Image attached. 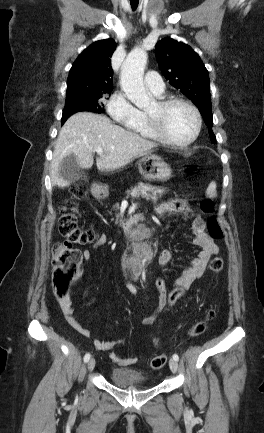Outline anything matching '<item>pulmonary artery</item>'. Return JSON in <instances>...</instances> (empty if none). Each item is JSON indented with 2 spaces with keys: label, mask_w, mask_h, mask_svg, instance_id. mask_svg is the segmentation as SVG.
Wrapping results in <instances>:
<instances>
[{
  "label": "pulmonary artery",
  "mask_w": 264,
  "mask_h": 433,
  "mask_svg": "<svg viewBox=\"0 0 264 433\" xmlns=\"http://www.w3.org/2000/svg\"><path fill=\"white\" fill-rule=\"evenodd\" d=\"M145 85L156 96H162L165 93L164 81L157 72L150 71L146 74Z\"/></svg>",
  "instance_id": "pulmonary-artery-1"
}]
</instances>
